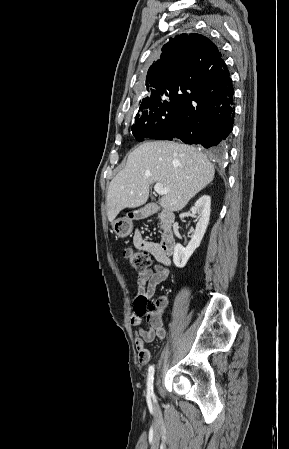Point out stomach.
Masks as SVG:
<instances>
[{
	"label": "stomach",
	"mask_w": 289,
	"mask_h": 449,
	"mask_svg": "<svg viewBox=\"0 0 289 449\" xmlns=\"http://www.w3.org/2000/svg\"><path fill=\"white\" fill-rule=\"evenodd\" d=\"M112 227L117 237L126 238L133 230L132 219L129 217L118 218L113 222Z\"/></svg>",
	"instance_id": "0dacf381"
}]
</instances>
